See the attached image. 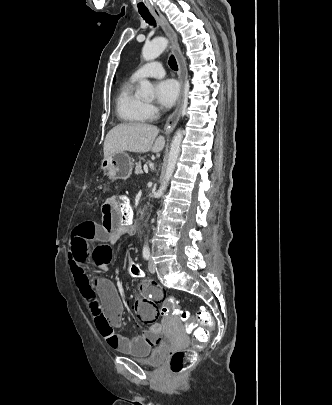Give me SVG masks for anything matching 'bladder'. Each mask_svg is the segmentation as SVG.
Returning <instances> with one entry per match:
<instances>
[{
	"mask_svg": "<svg viewBox=\"0 0 332 405\" xmlns=\"http://www.w3.org/2000/svg\"><path fill=\"white\" fill-rule=\"evenodd\" d=\"M122 353L131 356L137 361L149 364L160 365L166 358L167 345L164 342H158L156 344L145 347L144 352H138L136 350H124Z\"/></svg>",
	"mask_w": 332,
	"mask_h": 405,
	"instance_id": "bladder-1",
	"label": "bladder"
}]
</instances>
